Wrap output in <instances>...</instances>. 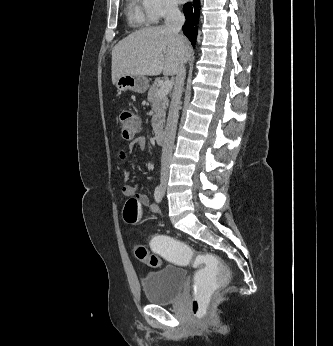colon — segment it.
I'll return each mask as SVG.
<instances>
[{
  "instance_id": "obj_1",
  "label": "colon",
  "mask_w": 333,
  "mask_h": 346,
  "mask_svg": "<svg viewBox=\"0 0 333 346\" xmlns=\"http://www.w3.org/2000/svg\"><path fill=\"white\" fill-rule=\"evenodd\" d=\"M119 122L122 137L126 141L134 138L139 130L140 122L137 116L129 111L120 112ZM123 218L129 225H135L140 218V202L136 198L126 201ZM152 240L146 241V246L150 247V253L145 245H134L136 258L152 268L161 265V259L167 260L168 264H174L175 268H188L191 265L192 271H197L192 285V309L195 315L201 310L210 309V299L217 293V288H226V283L230 280L231 270L224 264V257H215L210 254H200L196 257L190 244H184L183 240H175V235L169 233H153Z\"/></svg>"
}]
</instances>
